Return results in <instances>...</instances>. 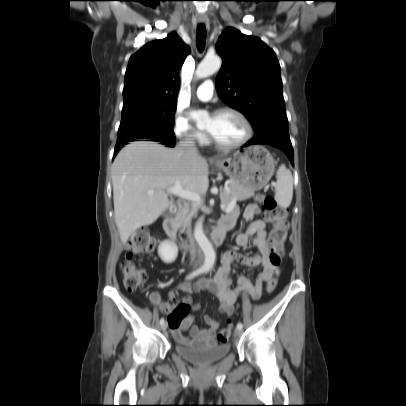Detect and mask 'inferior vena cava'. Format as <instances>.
Masks as SVG:
<instances>
[{"instance_id": "602c4592", "label": "inferior vena cava", "mask_w": 406, "mask_h": 406, "mask_svg": "<svg viewBox=\"0 0 406 406\" xmlns=\"http://www.w3.org/2000/svg\"><path fill=\"white\" fill-rule=\"evenodd\" d=\"M177 148L180 151L185 152L186 154H189V155H192V156H198L199 155L198 149L195 146V143H194V141H192L191 138H186L184 141L179 142ZM188 237H189L191 243H193L190 231L188 233ZM195 254H196V250H195L194 247H192L191 255L195 256Z\"/></svg>"}]
</instances>
